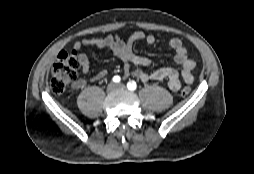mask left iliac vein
Returning <instances> with one entry per match:
<instances>
[{
    "mask_svg": "<svg viewBox=\"0 0 254 174\" xmlns=\"http://www.w3.org/2000/svg\"><path fill=\"white\" fill-rule=\"evenodd\" d=\"M116 87H117L118 89H124V88H125V85H123V84H118Z\"/></svg>",
    "mask_w": 254,
    "mask_h": 174,
    "instance_id": "left-iliac-vein-1",
    "label": "left iliac vein"
}]
</instances>
